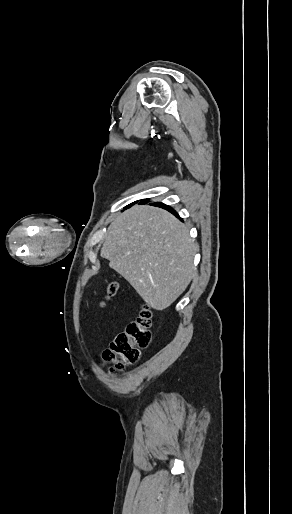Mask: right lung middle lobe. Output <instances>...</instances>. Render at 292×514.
I'll return each mask as SVG.
<instances>
[{"label":"right lung middle lobe","instance_id":"dd1d6c3e","mask_svg":"<svg viewBox=\"0 0 292 514\" xmlns=\"http://www.w3.org/2000/svg\"><path fill=\"white\" fill-rule=\"evenodd\" d=\"M134 203H135V202H134ZM134 203H132L131 205H133ZM131 205H129V206H131ZM129 206H128V207H129Z\"/></svg>","mask_w":292,"mask_h":514}]
</instances>
